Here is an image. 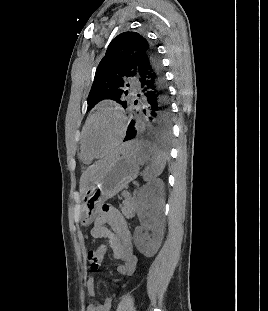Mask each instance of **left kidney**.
Segmentation results:
<instances>
[{
	"label": "left kidney",
	"instance_id": "obj_1",
	"mask_svg": "<svg viewBox=\"0 0 268 311\" xmlns=\"http://www.w3.org/2000/svg\"><path fill=\"white\" fill-rule=\"evenodd\" d=\"M164 204V183L161 179L147 183L137 195L136 212L140 226L135 228L134 244L146 257L154 256L161 245L164 235ZM147 228L151 231L150 235L144 233Z\"/></svg>",
	"mask_w": 268,
	"mask_h": 311
}]
</instances>
